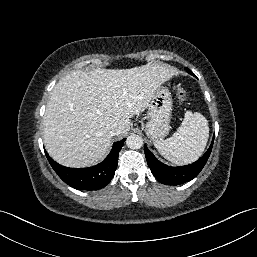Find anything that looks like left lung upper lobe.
Here are the masks:
<instances>
[{
	"label": "left lung upper lobe",
	"mask_w": 257,
	"mask_h": 257,
	"mask_svg": "<svg viewBox=\"0 0 257 257\" xmlns=\"http://www.w3.org/2000/svg\"><path fill=\"white\" fill-rule=\"evenodd\" d=\"M187 71L189 72V73H191V71L187 68Z\"/></svg>",
	"instance_id": "1"
}]
</instances>
